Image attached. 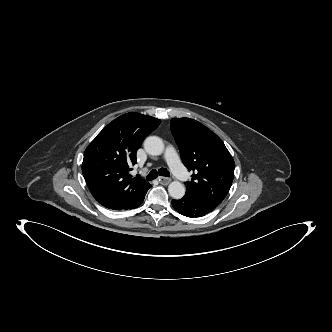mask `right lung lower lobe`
Here are the masks:
<instances>
[{"instance_id": "98d812e1", "label": "right lung lower lobe", "mask_w": 332, "mask_h": 332, "mask_svg": "<svg viewBox=\"0 0 332 332\" xmlns=\"http://www.w3.org/2000/svg\"><path fill=\"white\" fill-rule=\"evenodd\" d=\"M151 187V185H150ZM149 187V188H150ZM148 188V189H149ZM148 189L134 202H132L131 204H129L128 206H126L124 209L122 210H128V209H133V208H136L138 207L140 204H142L143 200H144V197H145V194L146 192L148 191Z\"/></svg>"}]
</instances>
